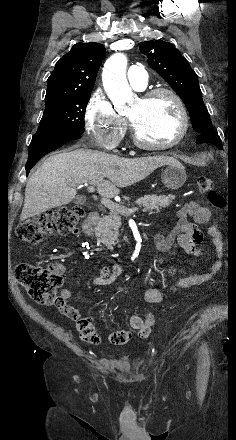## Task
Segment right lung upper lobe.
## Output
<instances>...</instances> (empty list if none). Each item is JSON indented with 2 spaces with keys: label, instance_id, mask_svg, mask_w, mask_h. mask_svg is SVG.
Wrapping results in <instances>:
<instances>
[{
  "label": "right lung upper lobe",
  "instance_id": "obj_1",
  "mask_svg": "<svg viewBox=\"0 0 236 440\" xmlns=\"http://www.w3.org/2000/svg\"><path fill=\"white\" fill-rule=\"evenodd\" d=\"M106 54L102 44L77 43L55 65L47 80L46 102L90 93Z\"/></svg>",
  "mask_w": 236,
  "mask_h": 440
}]
</instances>
